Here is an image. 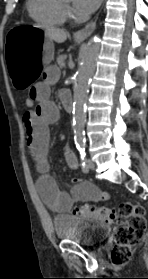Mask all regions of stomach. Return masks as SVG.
<instances>
[{
    "mask_svg": "<svg viewBox=\"0 0 148 279\" xmlns=\"http://www.w3.org/2000/svg\"><path fill=\"white\" fill-rule=\"evenodd\" d=\"M6 69H9L13 91H31L38 82L43 67H48L54 55V46L43 29L37 25H11L5 34Z\"/></svg>",
    "mask_w": 148,
    "mask_h": 279,
    "instance_id": "0dacf381",
    "label": "stomach"
}]
</instances>
